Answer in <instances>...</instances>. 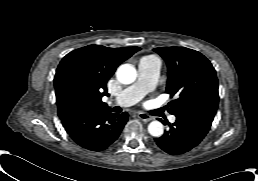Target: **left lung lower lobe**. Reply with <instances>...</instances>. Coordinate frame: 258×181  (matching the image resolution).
<instances>
[{"label": "left lung lower lobe", "mask_w": 258, "mask_h": 181, "mask_svg": "<svg viewBox=\"0 0 258 181\" xmlns=\"http://www.w3.org/2000/svg\"><path fill=\"white\" fill-rule=\"evenodd\" d=\"M175 116L176 122L170 125V129L163 136L155 138L156 145L171 155L183 154L198 145L208 133L214 119L203 114Z\"/></svg>", "instance_id": "left-lung-lower-lobe-1"}]
</instances>
